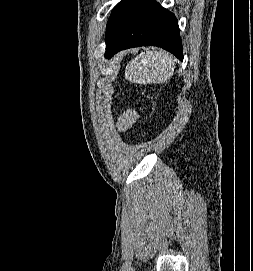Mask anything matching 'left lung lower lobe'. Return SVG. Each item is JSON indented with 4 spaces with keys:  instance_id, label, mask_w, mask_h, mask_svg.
<instances>
[{
    "instance_id": "0a47b994",
    "label": "left lung lower lobe",
    "mask_w": 253,
    "mask_h": 271,
    "mask_svg": "<svg viewBox=\"0 0 253 271\" xmlns=\"http://www.w3.org/2000/svg\"><path fill=\"white\" fill-rule=\"evenodd\" d=\"M158 46L183 60L178 21L155 0H129L119 22L106 41L105 57L122 49Z\"/></svg>"
}]
</instances>
